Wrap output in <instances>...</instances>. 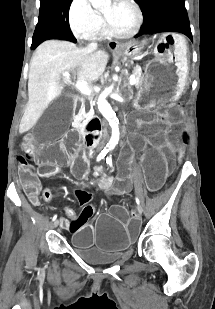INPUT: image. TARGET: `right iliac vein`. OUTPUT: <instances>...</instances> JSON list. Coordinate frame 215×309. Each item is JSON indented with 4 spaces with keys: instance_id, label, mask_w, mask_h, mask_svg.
I'll list each match as a JSON object with an SVG mask.
<instances>
[{
    "instance_id": "1",
    "label": "right iliac vein",
    "mask_w": 215,
    "mask_h": 309,
    "mask_svg": "<svg viewBox=\"0 0 215 309\" xmlns=\"http://www.w3.org/2000/svg\"><path fill=\"white\" fill-rule=\"evenodd\" d=\"M58 224H59V220L56 219V220L54 221V223H53V227H54V228H57Z\"/></svg>"
}]
</instances>
